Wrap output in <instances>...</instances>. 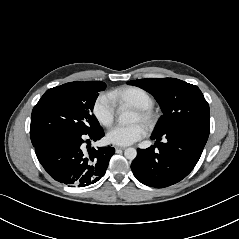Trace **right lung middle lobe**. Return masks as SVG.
Wrapping results in <instances>:
<instances>
[{
    "label": "right lung middle lobe",
    "mask_w": 239,
    "mask_h": 239,
    "mask_svg": "<svg viewBox=\"0 0 239 239\" xmlns=\"http://www.w3.org/2000/svg\"><path fill=\"white\" fill-rule=\"evenodd\" d=\"M104 82H71L47 90L31 115L30 137L33 146L52 132L72 131L87 134L100 129L92 114Z\"/></svg>",
    "instance_id": "right-lung-middle-lobe-1"
}]
</instances>
